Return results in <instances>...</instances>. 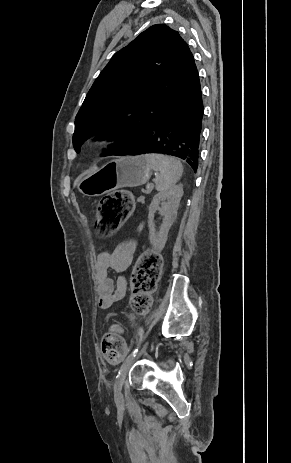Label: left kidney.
Returning a JSON list of instances; mask_svg holds the SVG:
<instances>
[{
    "instance_id": "obj_1",
    "label": "left kidney",
    "mask_w": 291,
    "mask_h": 463,
    "mask_svg": "<svg viewBox=\"0 0 291 463\" xmlns=\"http://www.w3.org/2000/svg\"><path fill=\"white\" fill-rule=\"evenodd\" d=\"M182 196L183 186L176 185L156 194L149 206V240L154 249L158 251L163 250L165 247L168 232L177 218V210ZM157 211H159V214L163 219L158 232L156 231L154 220V216Z\"/></svg>"
}]
</instances>
